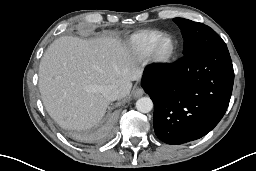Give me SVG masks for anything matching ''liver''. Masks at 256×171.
Segmentation results:
<instances>
[{
	"label": "liver",
	"mask_w": 256,
	"mask_h": 171,
	"mask_svg": "<svg viewBox=\"0 0 256 171\" xmlns=\"http://www.w3.org/2000/svg\"><path fill=\"white\" fill-rule=\"evenodd\" d=\"M141 70L129 49L114 38L83 40L64 36L47 48L39 65L43 104L62 128L87 130L103 118L110 101L102 88L114 85L119 97L130 93Z\"/></svg>",
	"instance_id": "1"
}]
</instances>
